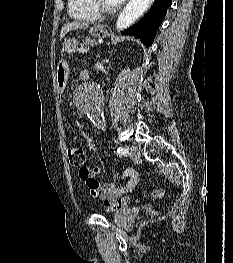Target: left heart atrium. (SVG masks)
Returning a JSON list of instances; mask_svg holds the SVG:
<instances>
[{
    "label": "left heart atrium",
    "mask_w": 233,
    "mask_h": 263,
    "mask_svg": "<svg viewBox=\"0 0 233 263\" xmlns=\"http://www.w3.org/2000/svg\"><path fill=\"white\" fill-rule=\"evenodd\" d=\"M116 4L122 3L125 0H114Z\"/></svg>",
    "instance_id": "obj_1"
}]
</instances>
